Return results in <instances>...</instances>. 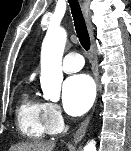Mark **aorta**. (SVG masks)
I'll return each mask as SVG.
<instances>
[{
    "mask_svg": "<svg viewBox=\"0 0 131 151\" xmlns=\"http://www.w3.org/2000/svg\"><path fill=\"white\" fill-rule=\"evenodd\" d=\"M67 39L63 28H49L41 53V87L46 99L57 100L63 80L62 57ZM84 151H97L96 142L91 140Z\"/></svg>",
    "mask_w": 131,
    "mask_h": 151,
    "instance_id": "1",
    "label": "aorta"
}]
</instances>
